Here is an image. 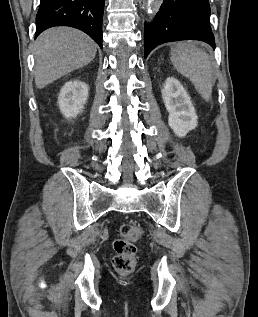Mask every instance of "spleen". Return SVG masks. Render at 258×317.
<instances>
[{
    "mask_svg": "<svg viewBox=\"0 0 258 317\" xmlns=\"http://www.w3.org/2000/svg\"><path fill=\"white\" fill-rule=\"evenodd\" d=\"M171 60L178 72L192 80L204 100H211L215 78L207 52L193 42H178L171 48Z\"/></svg>",
    "mask_w": 258,
    "mask_h": 317,
    "instance_id": "3e777b00",
    "label": "spleen"
}]
</instances>
